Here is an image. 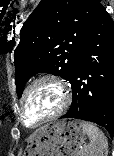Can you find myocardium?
<instances>
[{"instance_id":"obj_1","label":"myocardium","mask_w":114,"mask_h":156,"mask_svg":"<svg viewBox=\"0 0 114 156\" xmlns=\"http://www.w3.org/2000/svg\"><path fill=\"white\" fill-rule=\"evenodd\" d=\"M42 82H50L53 85H55L59 92H60V96H61V101H60V105L59 107L50 115L38 120L37 122H35L32 125L27 124L26 122V118H25V113H24V101L27 97V95L29 94V92L38 84L42 83ZM71 100H72V94H71V90L68 86V84L61 79L60 77H58L57 75L54 74H43L40 75L38 77H36L35 79H33L23 90V92L21 93L20 97H19V109H20V116L22 119L23 124L28 127V128H35L38 127L39 125L48 122L50 120H53L59 116H61L70 106L71 104Z\"/></svg>"}]
</instances>
